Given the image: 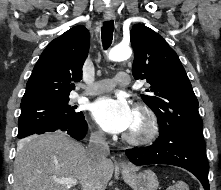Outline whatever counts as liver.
<instances>
[{
    "label": "liver",
    "instance_id": "liver-1",
    "mask_svg": "<svg viewBox=\"0 0 221 190\" xmlns=\"http://www.w3.org/2000/svg\"><path fill=\"white\" fill-rule=\"evenodd\" d=\"M113 171L111 160L93 162L66 133L34 135L18 145L13 190H69L55 181L63 178L76 179L81 190H105Z\"/></svg>",
    "mask_w": 221,
    "mask_h": 190
}]
</instances>
